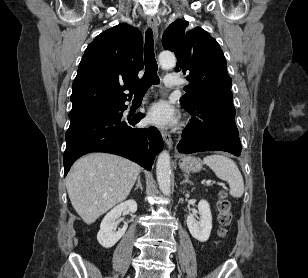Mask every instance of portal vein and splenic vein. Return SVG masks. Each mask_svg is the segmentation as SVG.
<instances>
[{
  "instance_id": "18ae733b",
  "label": "portal vein and splenic vein",
  "mask_w": 308,
  "mask_h": 278,
  "mask_svg": "<svg viewBox=\"0 0 308 278\" xmlns=\"http://www.w3.org/2000/svg\"><path fill=\"white\" fill-rule=\"evenodd\" d=\"M211 182H212L211 180H207L205 183L210 184Z\"/></svg>"
}]
</instances>
